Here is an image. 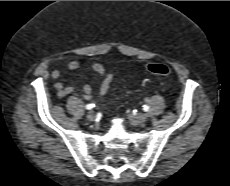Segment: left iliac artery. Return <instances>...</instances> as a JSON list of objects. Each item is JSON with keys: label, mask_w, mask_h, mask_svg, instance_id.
Masks as SVG:
<instances>
[{"label": "left iliac artery", "mask_w": 230, "mask_h": 186, "mask_svg": "<svg viewBox=\"0 0 230 186\" xmlns=\"http://www.w3.org/2000/svg\"><path fill=\"white\" fill-rule=\"evenodd\" d=\"M143 110H144V111H148V110H149V106H148V105H144V106H143Z\"/></svg>", "instance_id": "1"}]
</instances>
